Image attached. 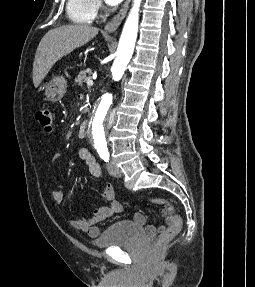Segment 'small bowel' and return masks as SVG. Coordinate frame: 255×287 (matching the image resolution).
<instances>
[{
    "mask_svg": "<svg viewBox=\"0 0 255 287\" xmlns=\"http://www.w3.org/2000/svg\"><path fill=\"white\" fill-rule=\"evenodd\" d=\"M75 152L80 160H82L88 168L89 173L95 179H99L102 175L101 167L96 162L94 156L90 153V151L82 146H78L75 148ZM59 154H56L54 158H57ZM102 197L105 201H107L106 205L100 206L97 208L89 217H78L72 219L70 221L71 225L79 230H82L88 233L91 237H97L100 233L97 224L100 222L114 216L115 214L119 213L122 209L121 204L115 200L114 198V190L111 185H106L102 192ZM52 198L54 203L61 204L63 201V193L61 191H53ZM162 215L165 219L164 225L154 226L148 225L146 216L141 213L137 212L133 216V221L144 227L147 232L151 234L155 233H163L166 230V226H169L172 221V212L171 208H167L162 210Z\"/></svg>",
    "mask_w": 255,
    "mask_h": 287,
    "instance_id": "c3829d8e",
    "label": "small bowel"
}]
</instances>
